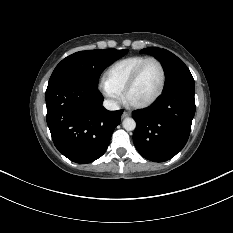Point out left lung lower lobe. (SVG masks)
Returning <instances> with one entry per match:
<instances>
[{
	"instance_id": "0a47b994",
	"label": "left lung lower lobe",
	"mask_w": 233,
	"mask_h": 233,
	"mask_svg": "<svg viewBox=\"0 0 233 233\" xmlns=\"http://www.w3.org/2000/svg\"><path fill=\"white\" fill-rule=\"evenodd\" d=\"M195 114L194 87L164 91L152 106L133 112V142L146 159L163 162L185 146Z\"/></svg>"
}]
</instances>
